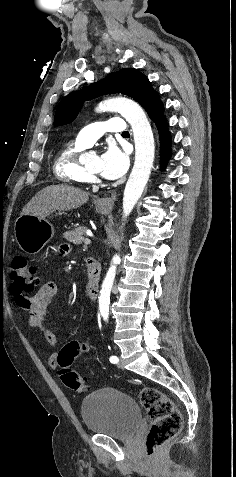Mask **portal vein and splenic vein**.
<instances>
[{"mask_svg": "<svg viewBox=\"0 0 236 477\" xmlns=\"http://www.w3.org/2000/svg\"><path fill=\"white\" fill-rule=\"evenodd\" d=\"M90 243H91V240H90L89 238H86V239L84 240V244H85V245H88V244H90Z\"/></svg>", "mask_w": 236, "mask_h": 477, "instance_id": "18ae733b", "label": "portal vein and splenic vein"}]
</instances>
